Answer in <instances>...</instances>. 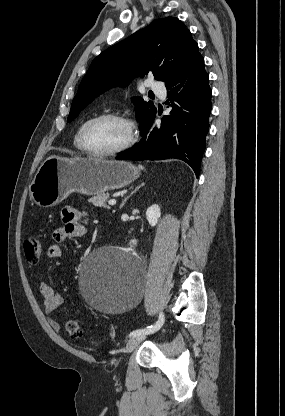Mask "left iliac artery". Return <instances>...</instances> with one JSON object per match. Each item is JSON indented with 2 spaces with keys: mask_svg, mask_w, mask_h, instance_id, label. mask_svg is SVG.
<instances>
[{
  "mask_svg": "<svg viewBox=\"0 0 285 416\" xmlns=\"http://www.w3.org/2000/svg\"><path fill=\"white\" fill-rule=\"evenodd\" d=\"M164 321H165L164 314L163 313H160L159 314V319H158V321L156 322L155 325H150V326H148L146 328L134 330V331H132L130 333L129 336L130 337H135L137 335L154 333L155 331H157L158 329H160V327L163 325ZM158 326H159V328L157 329Z\"/></svg>",
  "mask_w": 285,
  "mask_h": 416,
  "instance_id": "obj_1",
  "label": "left iliac artery"
}]
</instances>
